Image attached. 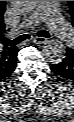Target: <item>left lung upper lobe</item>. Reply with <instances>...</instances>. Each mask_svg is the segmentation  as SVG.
Returning <instances> with one entry per match:
<instances>
[{"label": "left lung upper lobe", "instance_id": "obj_1", "mask_svg": "<svg viewBox=\"0 0 74 122\" xmlns=\"http://www.w3.org/2000/svg\"><path fill=\"white\" fill-rule=\"evenodd\" d=\"M69 7H70V12L72 15V25L74 27V1H68Z\"/></svg>", "mask_w": 74, "mask_h": 122}]
</instances>
